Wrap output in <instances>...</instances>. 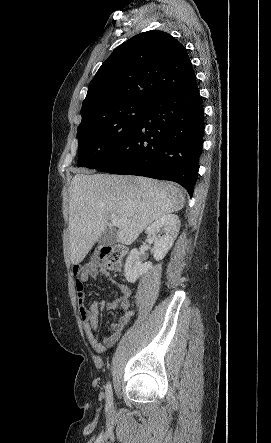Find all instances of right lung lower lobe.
<instances>
[{
  "mask_svg": "<svg viewBox=\"0 0 271 443\" xmlns=\"http://www.w3.org/2000/svg\"><path fill=\"white\" fill-rule=\"evenodd\" d=\"M203 111L196 81L157 97L113 156L96 170L174 181L192 195L202 152Z\"/></svg>",
  "mask_w": 271,
  "mask_h": 443,
  "instance_id": "right-lung-lower-lobe-1",
  "label": "right lung lower lobe"
}]
</instances>
